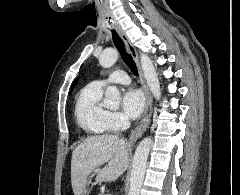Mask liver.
I'll return each instance as SVG.
<instances>
[{
	"label": "liver",
	"mask_w": 240,
	"mask_h": 195,
	"mask_svg": "<svg viewBox=\"0 0 240 195\" xmlns=\"http://www.w3.org/2000/svg\"><path fill=\"white\" fill-rule=\"evenodd\" d=\"M130 143L114 133L89 135L76 145L71 157V183L74 195H80L84 183L100 165L107 163L97 181H116L129 165Z\"/></svg>",
	"instance_id": "obj_1"
}]
</instances>
